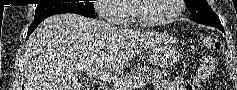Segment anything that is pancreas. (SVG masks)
<instances>
[{"label":"pancreas","mask_w":237,"mask_h":90,"mask_svg":"<svg viewBox=\"0 0 237 90\" xmlns=\"http://www.w3.org/2000/svg\"><path fill=\"white\" fill-rule=\"evenodd\" d=\"M164 74H166L164 70H153V68H142V66H138V68L126 74L125 78L126 80H132L133 76H135V78H139L147 86V84H153V82H160Z\"/></svg>","instance_id":"cf45deb5"}]
</instances>
